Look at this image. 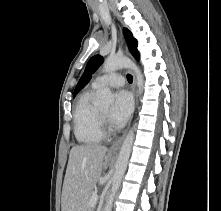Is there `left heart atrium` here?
<instances>
[{
  "label": "left heart atrium",
  "instance_id": "1",
  "mask_svg": "<svg viewBox=\"0 0 221 211\" xmlns=\"http://www.w3.org/2000/svg\"><path fill=\"white\" fill-rule=\"evenodd\" d=\"M133 110L131 95L125 90H119L114 95V103L110 111V119L115 126L126 123Z\"/></svg>",
  "mask_w": 221,
  "mask_h": 211
}]
</instances>
